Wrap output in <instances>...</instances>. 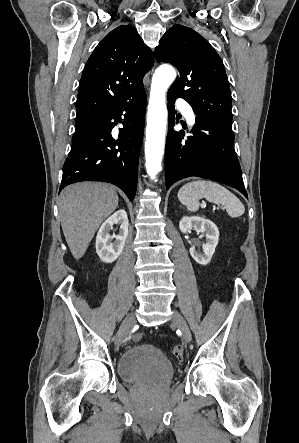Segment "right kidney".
<instances>
[{
  "mask_svg": "<svg viewBox=\"0 0 299 443\" xmlns=\"http://www.w3.org/2000/svg\"><path fill=\"white\" fill-rule=\"evenodd\" d=\"M114 224L120 225L118 235H110ZM128 217L125 210H118L110 216L100 227L96 237V253L103 262L115 261L125 245L128 236ZM115 239V241H113Z\"/></svg>",
  "mask_w": 299,
  "mask_h": 443,
  "instance_id": "ca27d5eb",
  "label": "right kidney"
}]
</instances>
